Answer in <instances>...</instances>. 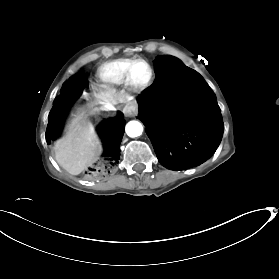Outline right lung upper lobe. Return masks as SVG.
I'll return each instance as SVG.
<instances>
[{
  "label": "right lung upper lobe",
  "instance_id": "right-lung-upper-lobe-1",
  "mask_svg": "<svg viewBox=\"0 0 279 279\" xmlns=\"http://www.w3.org/2000/svg\"><path fill=\"white\" fill-rule=\"evenodd\" d=\"M103 131H104V132H106V131H107L106 125H104V127H103Z\"/></svg>",
  "mask_w": 279,
  "mask_h": 279
}]
</instances>
